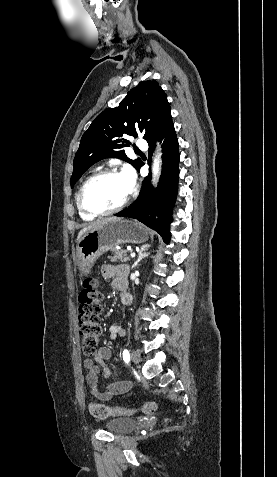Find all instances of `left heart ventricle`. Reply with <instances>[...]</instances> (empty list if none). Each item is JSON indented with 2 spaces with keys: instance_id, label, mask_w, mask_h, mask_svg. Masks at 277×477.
<instances>
[{
  "instance_id": "obj_1",
  "label": "left heart ventricle",
  "mask_w": 277,
  "mask_h": 477,
  "mask_svg": "<svg viewBox=\"0 0 277 477\" xmlns=\"http://www.w3.org/2000/svg\"><path fill=\"white\" fill-rule=\"evenodd\" d=\"M129 191L122 174H107L94 179L86 188L84 202L93 210H106L119 205Z\"/></svg>"
}]
</instances>
